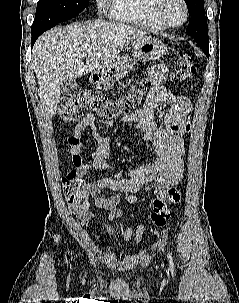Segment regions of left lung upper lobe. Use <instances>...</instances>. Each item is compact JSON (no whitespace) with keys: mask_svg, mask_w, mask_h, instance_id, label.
Returning a JSON list of instances; mask_svg holds the SVG:
<instances>
[{"mask_svg":"<svg viewBox=\"0 0 239 303\" xmlns=\"http://www.w3.org/2000/svg\"><path fill=\"white\" fill-rule=\"evenodd\" d=\"M190 23L187 28V34L192 36L196 42L208 44V25L204 12V0H185Z\"/></svg>","mask_w":239,"mask_h":303,"instance_id":"left-lung-upper-lobe-1","label":"left lung upper lobe"}]
</instances>
